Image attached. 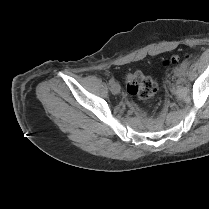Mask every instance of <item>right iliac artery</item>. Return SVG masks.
Here are the masks:
<instances>
[{
    "mask_svg": "<svg viewBox=\"0 0 209 209\" xmlns=\"http://www.w3.org/2000/svg\"><path fill=\"white\" fill-rule=\"evenodd\" d=\"M114 82H115L114 78H111V79L109 80V84H110V85H112Z\"/></svg>",
    "mask_w": 209,
    "mask_h": 209,
    "instance_id": "right-iliac-artery-1",
    "label": "right iliac artery"
}]
</instances>
